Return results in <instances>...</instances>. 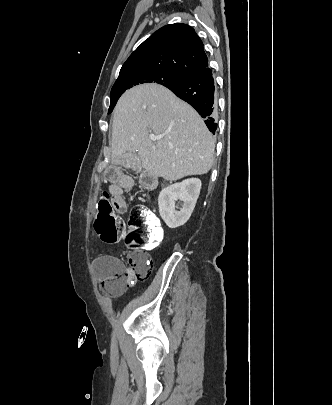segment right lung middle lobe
Listing matches in <instances>:
<instances>
[{"mask_svg":"<svg viewBox=\"0 0 332 405\" xmlns=\"http://www.w3.org/2000/svg\"><path fill=\"white\" fill-rule=\"evenodd\" d=\"M183 78V76L178 74L165 73L154 70L132 71L120 75L111 90V103L108 113L112 112L117 100L125 92V90L133 87L134 85L153 82L167 87L171 84L179 82Z\"/></svg>","mask_w":332,"mask_h":405,"instance_id":"obj_1","label":"right lung middle lobe"}]
</instances>
